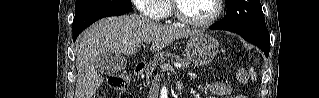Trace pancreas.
<instances>
[{
	"mask_svg": "<svg viewBox=\"0 0 319 98\" xmlns=\"http://www.w3.org/2000/svg\"><path fill=\"white\" fill-rule=\"evenodd\" d=\"M175 60L176 62L180 63L182 66L187 67L188 64L182 60V58L179 55L173 54L171 52H161L154 56L153 61L149 64L148 70H147V76L146 79L149 82L150 78L153 76L154 71L157 67V64L159 62H164L165 60ZM161 70L160 72H162Z\"/></svg>",
	"mask_w": 319,
	"mask_h": 98,
	"instance_id": "1",
	"label": "pancreas"
}]
</instances>
